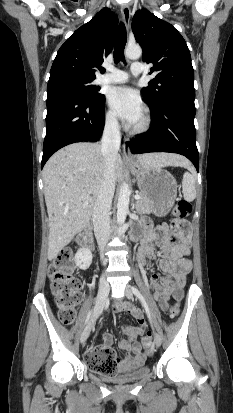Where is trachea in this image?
Instances as JSON below:
<instances>
[{"mask_svg": "<svg viewBox=\"0 0 233 413\" xmlns=\"http://www.w3.org/2000/svg\"><path fill=\"white\" fill-rule=\"evenodd\" d=\"M126 41H127V33H126L125 25L124 23H120L118 31H117L115 47H114V62L115 63L125 60L124 48L126 45Z\"/></svg>", "mask_w": 233, "mask_h": 413, "instance_id": "1", "label": "trachea"}]
</instances>
